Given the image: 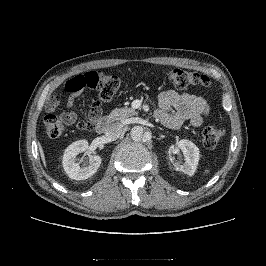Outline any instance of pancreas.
<instances>
[{
    "instance_id": "pancreas-1",
    "label": "pancreas",
    "mask_w": 266,
    "mask_h": 266,
    "mask_svg": "<svg viewBox=\"0 0 266 266\" xmlns=\"http://www.w3.org/2000/svg\"><path fill=\"white\" fill-rule=\"evenodd\" d=\"M137 113L138 112L133 108H116L106 117V119L109 122L123 121Z\"/></svg>"
}]
</instances>
